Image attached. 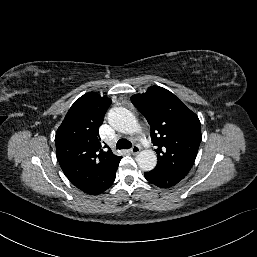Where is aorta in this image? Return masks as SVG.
I'll return each instance as SVG.
<instances>
[{
  "label": "aorta",
  "instance_id": "762f6f07",
  "mask_svg": "<svg viewBox=\"0 0 257 257\" xmlns=\"http://www.w3.org/2000/svg\"><path fill=\"white\" fill-rule=\"evenodd\" d=\"M108 122L115 130L125 134H132L139 129L134 115L123 107L110 109ZM136 161L140 169L143 171H151L157 164V157L154 151L143 150L137 155Z\"/></svg>",
  "mask_w": 257,
  "mask_h": 257
}]
</instances>
